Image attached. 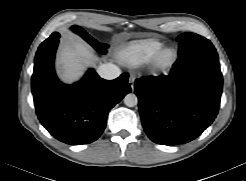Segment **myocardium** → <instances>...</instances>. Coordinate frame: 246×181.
Listing matches in <instances>:
<instances>
[{"instance_id": "f54148a6", "label": "myocardium", "mask_w": 246, "mask_h": 181, "mask_svg": "<svg viewBox=\"0 0 246 181\" xmlns=\"http://www.w3.org/2000/svg\"><path fill=\"white\" fill-rule=\"evenodd\" d=\"M178 59V49L174 46H167L161 48L148 62L155 73L166 74L175 67Z\"/></svg>"}]
</instances>
